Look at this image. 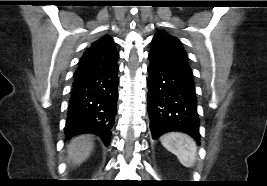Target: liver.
<instances>
[{
    "mask_svg": "<svg viewBox=\"0 0 267 186\" xmlns=\"http://www.w3.org/2000/svg\"><path fill=\"white\" fill-rule=\"evenodd\" d=\"M93 147L94 141L90 135H80L73 138L68 144V157L73 165H80L90 156Z\"/></svg>",
    "mask_w": 267,
    "mask_h": 186,
    "instance_id": "6515ba94",
    "label": "liver"
}]
</instances>
